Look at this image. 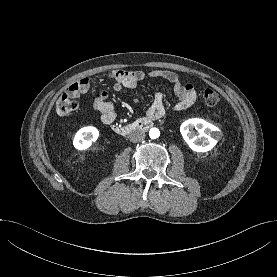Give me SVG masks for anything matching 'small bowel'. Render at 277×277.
Segmentation results:
<instances>
[{"label":"small bowel","instance_id":"c3829d8e","mask_svg":"<svg viewBox=\"0 0 277 277\" xmlns=\"http://www.w3.org/2000/svg\"><path fill=\"white\" fill-rule=\"evenodd\" d=\"M147 78H162L173 85L174 93L178 98V101L174 106L176 111L186 110L196 102L197 91L195 87L191 83H183L176 73L169 70H152L149 72H144L141 70H117L111 74L113 89L116 92H120L123 89H132L136 87L139 82ZM80 81L86 82L88 90L91 85V80L85 78ZM72 85H70L69 88ZM138 102L139 100L135 99V103ZM92 106L93 109L100 114V119L103 124L110 125L114 122L116 114L112 103L108 101L107 91L105 89H102L100 93L94 97ZM148 114L149 117L153 119H160L166 115V107L162 93L157 92L155 94Z\"/></svg>","mask_w":277,"mask_h":277}]
</instances>
